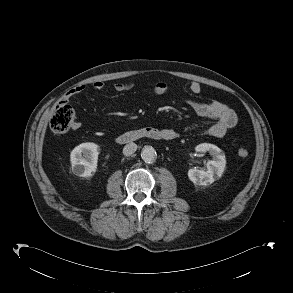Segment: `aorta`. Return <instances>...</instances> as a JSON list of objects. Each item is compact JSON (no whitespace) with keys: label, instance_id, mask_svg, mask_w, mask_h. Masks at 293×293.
<instances>
[{"label":"aorta","instance_id":"762f6f07","mask_svg":"<svg viewBox=\"0 0 293 293\" xmlns=\"http://www.w3.org/2000/svg\"><path fill=\"white\" fill-rule=\"evenodd\" d=\"M156 151L152 146H145L141 152V158L145 163L151 164L156 159Z\"/></svg>","mask_w":293,"mask_h":293}]
</instances>
